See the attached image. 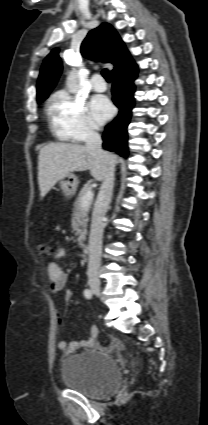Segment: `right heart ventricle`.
<instances>
[{
    "label": "right heart ventricle",
    "mask_w": 208,
    "mask_h": 425,
    "mask_svg": "<svg viewBox=\"0 0 208 425\" xmlns=\"http://www.w3.org/2000/svg\"><path fill=\"white\" fill-rule=\"evenodd\" d=\"M59 136H60L61 138H64V139L66 138V137H65V136H63V135H59Z\"/></svg>",
    "instance_id": "right-heart-ventricle-1"
}]
</instances>
